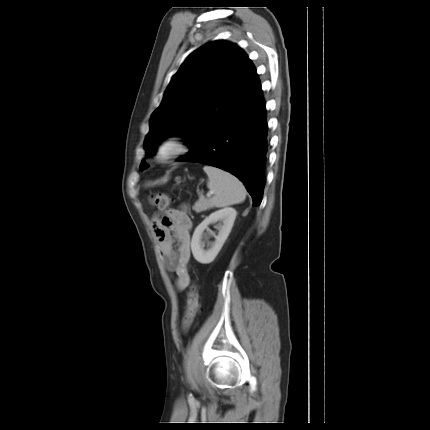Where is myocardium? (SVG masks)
<instances>
[{
    "label": "myocardium",
    "instance_id": "obj_1",
    "mask_svg": "<svg viewBox=\"0 0 430 430\" xmlns=\"http://www.w3.org/2000/svg\"><path fill=\"white\" fill-rule=\"evenodd\" d=\"M187 152V144L183 136L172 134L159 143L155 158L161 164H169Z\"/></svg>",
    "mask_w": 430,
    "mask_h": 430
}]
</instances>
